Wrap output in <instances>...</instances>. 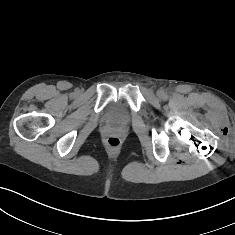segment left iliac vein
<instances>
[{"mask_svg": "<svg viewBox=\"0 0 235 235\" xmlns=\"http://www.w3.org/2000/svg\"><path fill=\"white\" fill-rule=\"evenodd\" d=\"M163 91H158L157 92V96L159 97V98H163Z\"/></svg>", "mask_w": 235, "mask_h": 235, "instance_id": "4c4485c4", "label": "left iliac vein"}]
</instances>
